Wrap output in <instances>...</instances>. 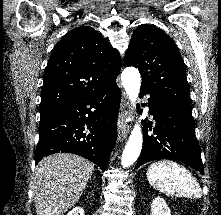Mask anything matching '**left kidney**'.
I'll return each mask as SVG.
<instances>
[{"label":"left kidney","instance_id":"1","mask_svg":"<svg viewBox=\"0 0 221 215\" xmlns=\"http://www.w3.org/2000/svg\"><path fill=\"white\" fill-rule=\"evenodd\" d=\"M151 215H171L164 199L157 197L153 200L151 205Z\"/></svg>","mask_w":221,"mask_h":215}]
</instances>
